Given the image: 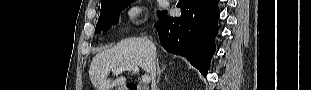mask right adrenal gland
<instances>
[{
	"label": "right adrenal gland",
	"instance_id": "right-adrenal-gland-1",
	"mask_svg": "<svg viewBox=\"0 0 311 90\" xmlns=\"http://www.w3.org/2000/svg\"><path fill=\"white\" fill-rule=\"evenodd\" d=\"M164 70H165V67L162 68V70H161L160 67H159V63L157 62V73H158L157 83L160 81L161 73H162Z\"/></svg>",
	"mask_w": 311,
	"mask_h": 90
}]
</instances>
